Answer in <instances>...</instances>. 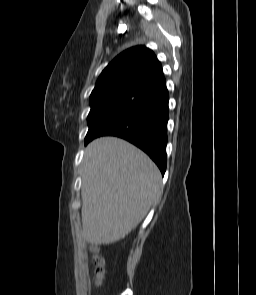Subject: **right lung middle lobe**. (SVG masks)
Returning a JSON list of instances; mask_svg holds the SVG:
<instances>
[{"instance_id": "obj_1", "label": "right lung middle lobe", "mask_w": 256, "mask_h": 295, "mask_svg": "<svg viewBox=\"0 0 256 295\" xmlns=\"http://www.w3.org/2000/svg\"><path fill=\"white\" fill-rule=\"evenodd\" d=\"M135 97H118L91 106L86 138L96 134L110 119L121 112Z\"/></svg>"}]
</instances>
